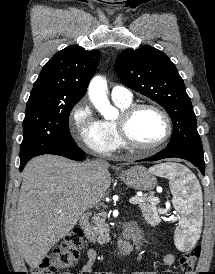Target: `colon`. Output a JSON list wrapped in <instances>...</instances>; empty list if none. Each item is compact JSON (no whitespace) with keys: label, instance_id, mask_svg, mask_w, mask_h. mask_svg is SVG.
<instances>
[{"label":"colon","instance_id":"obj_1","mask_svg":"<svg viewBox=\"0 0 215 274\" xmlns=\"http://www.w3.org/2000/svg\"><path fill=\"white\" fill-rule=\"evenodd\" d=\"M83 248V232L79 228L70 231L64 239L43 259L32 274H74L62 273L72 267ZM199 245L186 251L180 259V267L184 274H194V267L199 258Z\"/></svg>","mask_w":215,"mask_h":274}]
</instances>
